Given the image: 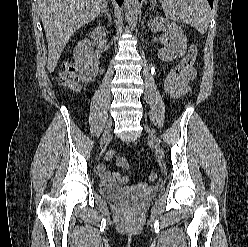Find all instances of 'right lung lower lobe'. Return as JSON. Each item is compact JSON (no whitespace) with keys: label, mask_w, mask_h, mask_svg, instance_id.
Returning <instances> with one entry per match:
<instances>
[{"label":"right lung lower lobe","mask_w":248,"mask_h":247,"mask_svg":"<svg viewBox=\"0 0 248 247\" xmlns=\"http://www.w3.org/2000/svg\"><path fill=\"white\" fill-rule=\"evenodd\" d=\"M119 5L122 4L123 0H116Z\"/></svg>","instance_id":"98d812e1"}]
</instances>
